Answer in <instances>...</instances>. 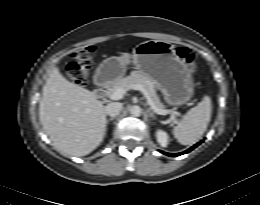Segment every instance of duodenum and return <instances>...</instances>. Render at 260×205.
Wrapping results in <instances>:
<instances>
[{
    "mask_svg": "<svg viewBox=\"0 0 260 205\" xmlns=\"http://www.w3.org/2000/svg\"><path fill=\"white\" fill-rule=\"evenodd\" d=\"M97 87L95 89V95L97 99H103L105 97V94L107 92L108 83L104 80L100 79V76L97 75Z\"/></svg>",
    "mask_w": 260,
    "mask_h": 205,
    "instance_id": "obj_1",
    "label": "duodenum"
}]
</instances>
